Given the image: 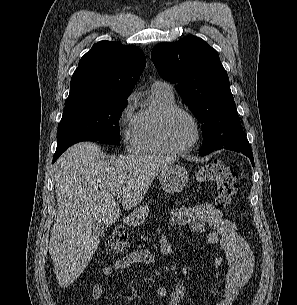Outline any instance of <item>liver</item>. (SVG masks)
I'll return each instance as SVG.
<instances>
[{
    "label": "liver",
    "instance_id": "1",
    "mask_svg": "<svg viewBox=\"0 0 297 305\" xmlns=\"http://www.w3.org/2000/svg\"><path fill=\"white\" fill-rule=\"evenodd\" d=\"M101 148L81 142L68 148L54 165L57 218L51 230L49 253L60 287L71 285L85 270L99 246L92 226L113 225L122 207H136L154 178L174 158L130 154L105 159Z\"/></svg>",
    "mask_w": 297,
    "mask_h": 305
}]
</instances>
